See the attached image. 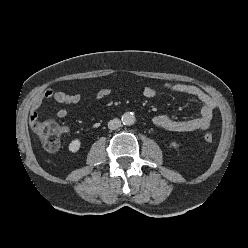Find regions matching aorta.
Returning a JSON list of instances; mask_svg holds the SVG:
<instances>
[{
  "label": "aorta",
  "mask_w": 248,
  "mask_h": 248,
  "mask_svg": "<svg viewBox=\"0 0 248 248\" xmlns=\"http://www.w3.org/2000/svg\"><path fill=\"white\" fill-rule=\"evenodd\" d=\"M121 120L124 125L130 126L135 123L136 118L132 112H126L122 115Z\"/></svg>",
  "instance_id": "1"
}]
</instances>
